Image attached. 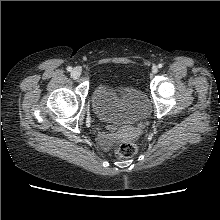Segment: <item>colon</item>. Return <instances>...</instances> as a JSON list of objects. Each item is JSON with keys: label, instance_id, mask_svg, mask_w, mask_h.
I'll return each instance as SVG.
<instances>
[{"label": "colon", "instance_id": "1", "mask_svg": "<svg viewBox=\"0 0 220 220\" xmlns=\"http://www.w3.org/2000/svg\"><path fill=\"white\" fill-rule=\"evenodd\" d=\"M114 154L119 158L132 157L137 152V147L132 142L120 141L114 146Z\"/></svg>", "mask_w": 220, "mask_h": 220}]
</instances>
